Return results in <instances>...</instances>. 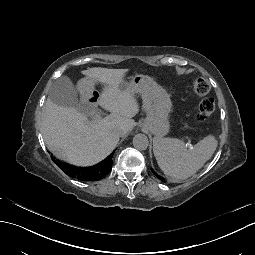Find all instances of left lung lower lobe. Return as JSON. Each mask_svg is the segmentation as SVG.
Returning <instances> with one entry per match:
<instances>
[{"label":"left lung lower lobe","instance_id":"left-lung-lower-lobe-1","mask_svg":"<svg viewBox=\"0 0 255 255\" xmlns=\"http://www.w3.org/2000/svg\"><path fill=\"white\" fill-rule=\"evenodd\" d=\"M151 175L155 177L159 182L163 183L165 186H169L171 184V181L166 177L162 176V174L158 172L156 169H153L151 171Z\"/></svg>","mask_w":255,"mask_h":255}]
</instances>
